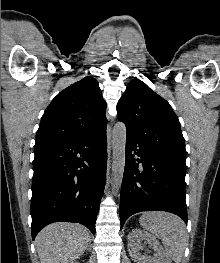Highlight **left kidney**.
Listing matches in <instances>:
<instances>
[{
	"label": "left kidney",
	"mask_w": 220,
	"mask_h": 263,
	"mask_svg": "<svg viewBox=\"0 0 220 263\" xmlns=\"http://www.w3.org/2000/svg\"><path fill=\"white\" fill-rule=\"evenodd\" d=\"M147 242L153 248L155 255L152 258L142 256L140 244ZM129 254L136 263H172L155 237L139 229H133L128 235Z\"/></svg>",
	"instance_id": "5707ae66"
}]
</instances>
